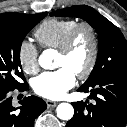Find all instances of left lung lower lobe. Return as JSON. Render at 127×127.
Returning <instances> with one entry per match:
<instances>
[{"instance_id":"obj_1","label":"left lung lower lobe","mask_w":127,"mask_h":127,"mask_svg":"<svg viewBox=\"0 0 127 127\" xmlns=\"http://www.w3.org/2000/svg\"><path fill=\"white\" fill-rule=\"evenodd\" d=\"M90 92L93 103H72L75 114L66 127H125L127 123V75L108 74L95 83L80 87Z\"/></svg>"}]
</instances>
